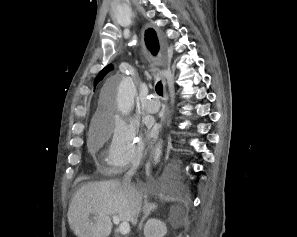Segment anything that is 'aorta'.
I'll return each instance as SVG.
<instances>
[{
  "label": "aorta",
  "mask_w": 297,
  "mask_h": 237,
  "mask_svg": "<svg viewBox=\"0 0 297 237\" xmlns=\"http://www.w3.org/2000/svg\"><path fill=\"white\" fill-rule=\"evenodd\" d=\"M135 85L131 78H124L118 87L117 93V109L122 114H128L134 102ZM161 154V145L159 144L155 150V161L159 160Z\"/></svg>",
  "instance_id": "obj_1"
}]
</instances>
